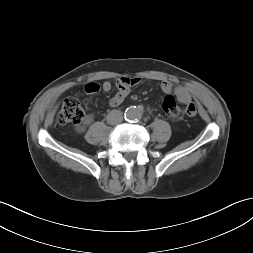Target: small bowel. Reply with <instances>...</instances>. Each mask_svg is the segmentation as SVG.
Segmentation results:
<instances>
[{"instance_id":"c3829d8e","label":"small bowel","mask_w":253,"mask_h":253,"mask_svg":"<svg viewBox=\"0 0 253 253\" xmlns=\"http://www.w3.org/2000/svg\"><path fill=\"white\" fill-rule=\"evenodd\" d=\"M141 82L139 77H121L116 81L117 91L110 98L109 104L113 107L120 105L128 96L130 89L133 86L138 85ZM112 88L110 82H105L102 85V90L104 92H109ZM100 89L99 85L93 82L86 84L85 90L89 94L98 92ZM160 89L163 93L169 94L174 93L177 99L185 104L186 106L182 108L181 115L185 119L193 118L196 115V106L192 101V96L190 92L182 86H173L169 81H162L160 84Z\"/></svg>"}]
</instances>
